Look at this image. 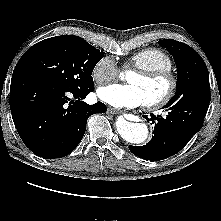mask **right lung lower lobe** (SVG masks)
Here are the masks:
<instances>
[{
    "label": "right lung lower lobe",
    "instance_id": "obj_1",
    "mask_svg": "<svg viewBox=\"0 0 221 221\" xmlns=\"http://www.w3.org/2000/svg\"><path fill=\"white\" fill-rule=\"evenodd\" d=\"M92 91L66 88L39 74L14 70L10 109L24 144L43 158L68 155L82 140L88 117L106 112L102 102L81 101Z\"/></svg>",
    "mask_w": 221,
    "mask_h": 221
}]
</instances>
